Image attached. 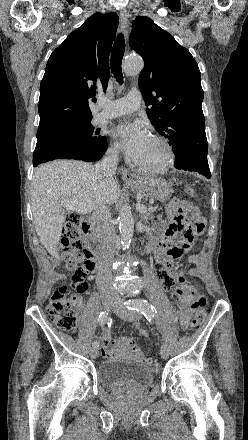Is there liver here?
Returning <instances> with one entry per match:
<instances>
[{
	"label": "liver",
	"instance_id": "6515ba94",
	"mask_svg": "<svg viewBox=\"0 0 248 440\" xmlns=\"http://www.w3.org/2000/svg\"><path fill=\"white\" fill-rule=\"evenodd\" d=\"M118 192V181L97 175L89 163L58 160L39 166L31 182V208L40 243L59 258L57 245L66 219L62 200H76L92 211L114 204Z\"/></svg>",
	"mask_w": 248,
	"mask_h": 440
}]
</instances>
